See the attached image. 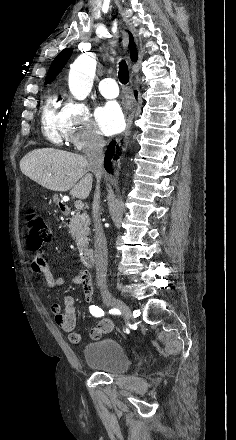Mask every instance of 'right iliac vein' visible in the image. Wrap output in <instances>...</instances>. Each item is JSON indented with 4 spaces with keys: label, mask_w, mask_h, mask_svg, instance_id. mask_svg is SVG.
Returning a JSON list of instances; mask_svg holds the SVG:
<instances>
[{
    "label": "right iliac vein",
    "mask_w": 236,
    "mask_h": 440,
    "mask_svg": "<svg viewBox=\"0 0 236 440\" xmlns=\"http://www.w3.org/2000/svg\"><path fill=\"white\" fill-rule=\"evenodd\" d=\"M102 299H103V302L107 306L114 307V308L118 309L123 314V316L127 322L130 321L131 310L125 302L115 298L111 293H109L107 291L102 293Z\"/></svg>",
    "instance_id": "1"
}]
</instances>
